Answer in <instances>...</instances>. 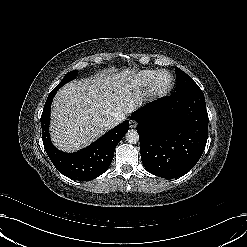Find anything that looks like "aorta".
<instances>
[{
  "label": "aorta",
  "instance_id": "aorta-1",
  "mask_svg": "<svg viewBox=\"0 0 247 247\" xmlns=\"http://www.w3.org/2000/svg\"><path fill=\"white\" fill-rule=\"evenodd\" d=\"M126 140L130 144H136L139 141V134L136 130H129L126 133Z\"/></svg>",
  "mask_w": 247,
  "mask_h": 247
}]
</instances>
